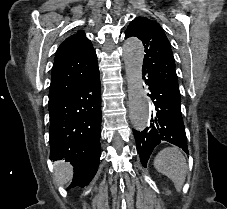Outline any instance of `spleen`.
Wrapping results in <instances>:
<instances>
[{"label": "spleen", "mask_w": 227, "mask_h": 209, "mask_svg": "<svg viewBox=\"0 0 227 209\" xmlns=\"http://www.w3.org/2000/svg\"><path fill=\"white\" fill-rule=\"evenodd\" d=\"M154 167L158 173L166 175L175 185L176 191L181 193L185 183L187 165L186 159L177 147H167L160 151L154 159Z\"/></svg>", "instance_id": "obj_1"}]
</instances>
